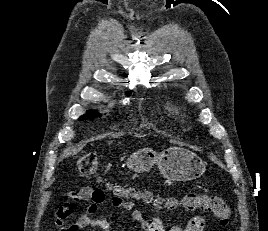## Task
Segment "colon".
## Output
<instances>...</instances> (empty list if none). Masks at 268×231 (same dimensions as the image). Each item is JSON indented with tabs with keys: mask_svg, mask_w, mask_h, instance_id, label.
<instances>
[{
	"mask_svg": "<svg viewBox=\"0 0 268 231\" xmlns=\"http://www.w3.org/2000/svg\"><path fill=\"white\" fill-rule=\"evenodd\" d=\"M77 171L85 177L96 176L99 169L98 159L93 155H82L76 160ZM110 192L114 195L115 202H129L130 198L140 199L147 203H154L158 208L174 209L183 207L189 212L211 213L219 218L222 226H227L231 211L227 204L218 196L203 193L188 192L180 199H169L167 201L153 200L148 194L136 192L132 189L110 187Z\"/></svg>",
	"mask_w": 268,
	"mask_h": 231,
	"instance_id": "5ec220e1",
	"label": "colon"
}]
</instances>
